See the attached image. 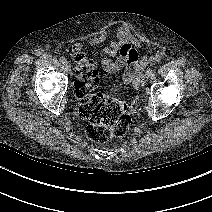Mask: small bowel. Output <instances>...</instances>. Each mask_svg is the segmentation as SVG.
<instances>
[{"label":"small bowel","instance_id":"1","mask_svg":"<svg viewBox=\"0 0 212 212\" xmlns=\"http://www.w3.org/2000/svg\"><path fill=\"white\" fill-rule=\"evenodd\" d=\"M109 33V28H103L100 33L88 40L89 47L102 44ZM139 41L132 35L128 27L122 26L118 30L117 39L112 41L103 49L104 58L101 61L102 67L108 72L123 70V80L126 83L138 84L141 72L148 66L159 62L164 51L160 50L152 55H139L137 48ZM85 48L83 43L74 44L73 54L82 53ZM116 57L115 59H113Z\"/></svg>","mask_w":212,"mask_h":212}]
</instances>
